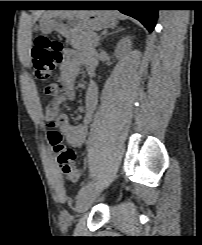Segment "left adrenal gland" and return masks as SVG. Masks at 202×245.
I'll return each mask as SVG.
<instances>
[{
	"label": "left adrenal gland",
	"instance_id": "left-adrenal-gland-1",
	"mask_svg": "<svg viewBox=\"0 0 202 245\" xmlns=\"http://www.w3.org/2000/svg\"><path fill=\"white\" fill-rule=\"evenodd\" d=\"M123 30H124L123 28H119L118 30H116V31H114V32H112V33H110V34H115V33L121 32V31H123Z\"/></svg>",
	"mask_w": 202,
	"mask_h": 245
}]
</instances>
